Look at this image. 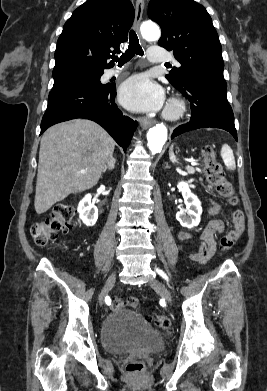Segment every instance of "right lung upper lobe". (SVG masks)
<instances>
[{
	"label": "right lung upper lobe",
	"instance_id": "cb5924a9",
	"mask_svg": "<svg viewBox=\"0 0 267 391\" xmlns=\"http://www.w3.org/2000/svg\"><path fill=\"white\" fill-rule=\"evenodd\" d=\"M134 15L129 0H88L78 7L57 41L53 77L109 68L107 59L127 40Z\"/></svg>",
	"mask_w": 267,
	"mask_h": 391
}]
</instances>
